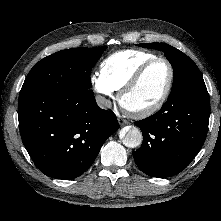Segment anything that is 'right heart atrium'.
<instances>
[{
	"instance_id": "1",
	"label": "right heart atrium",
	"mask_w": 221,
	"mask_h": 221,
	"mask_svg": "<svg viewBox=\"0 0 221 221\" xmlns=\"http://www.w3.org/2000/svg\"><path fill=\"white\" fill-rule=\"evenodd\" d=\"M90 83L93 89L100 95L103 103L107 104L108 99L113 96L114 90L108 85L100 73L90 75Z\"/></svg>"
}]
</instances>
